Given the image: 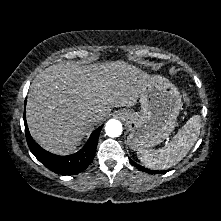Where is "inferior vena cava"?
<instances>
[{
	"label": "inferior vena cava",
	"instance_id": "1",
	"mask_svg": "<svg viewBox=\"0 0 221 221\" xmlns=\"http://www.w3.org/2000/svg\"><path fill=\"white\" fill-rule=\"evenodd\" d=\"M97 119H98V116H96V115H90V116H88L87 118H86V122L88 123V124H95V122L97 121Z\"/></svg>",
	"mask_w": 221,
	"mask_h": 221
}]
</instances>
